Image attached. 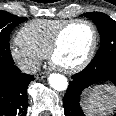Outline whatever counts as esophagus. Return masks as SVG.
<instances>
[{"mask_svg": "<svg viewBox=\"0 0 116 116\" xmlns=\"http://www.w3.org/2000/svg\"><path fill=\"white\" fill-rule=\"evenodd\" d=\"M48 75V72H41L36 75V79H43Z\"/></svg>", "mask_w": 116, "mask_h": 116, "instance_id": "obj_1", "label": "esophagus"}]
</instances>
